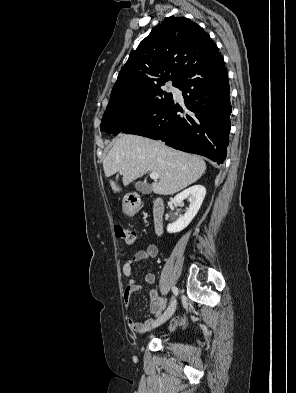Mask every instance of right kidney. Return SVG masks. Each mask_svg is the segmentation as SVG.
<instances>
[{
  "label": "right kidney",
  "mask_w": 296,
  "mask_h": 393,
  "mask_svg": "<svg viewBox=\"0 0 296 393\" xmlns=\"http://www.w3.org/2000/svg\"><path fill=\"white\" fill-rule=\"evenodd\" d=\"M206 195V189L202 185H194L174 197V201L178 204L184 199L190 200L189 208L183 216H180L175 222L168 224L167 232L177 233L185 229L198 213Z\"/></svg>",
  "instance_id": "obj_1"
}]
</instances>
